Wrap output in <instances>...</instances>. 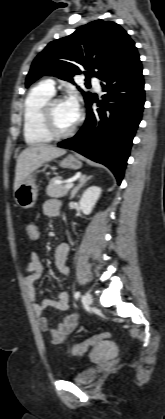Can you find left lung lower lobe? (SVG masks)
Wrapping results in <instances>:
<instances>
[{
  "label": "left lung lower lobe",
  "instance_id": "obj_1",
  "mask_svg": "<svg viewBox=\"0 0 165 419\" xmlns=\"http://www.w3.org/2000/svg\"><path fill=\"white\" fill-rule=\"evenodd\" d=\"M101 80L105 94L93 111L86 103L87 118L80 131L59 143L107 166L121 183L132 140L141 121L145 102L142 65L137 49Z\"/></svg>",
  "mask_w": 165,
  "mask_h": 419
}]
</instances>
